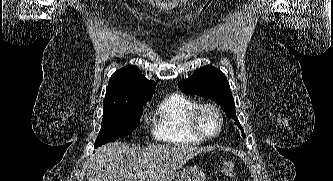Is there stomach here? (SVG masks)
Wrapping results in <instances>:
<instances>
[{"instance_id": "1", "label": "stomach", "mask_w": 333, "mask_h": 181, "mask_svg": "<svg viewBox=\"0 0 333 181\" xmlns=\"http://www.w3.org/2000/svg\"><path fill=\"white\" fill-rule=\"evenodd\" d=\"M205 179L204 170L198 166H187L180 174V181H205Z\"/></svg>"}]
</instances>
